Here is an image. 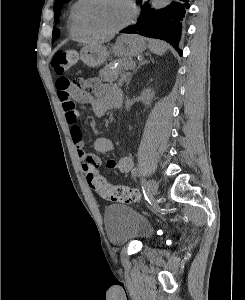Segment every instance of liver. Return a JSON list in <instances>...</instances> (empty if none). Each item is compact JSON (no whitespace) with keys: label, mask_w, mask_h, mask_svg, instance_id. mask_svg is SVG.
Listing matches in <instances>:
<instances>
[{"label":"liver","mask_w":245,"mask_h":300,"mask_svg":"<svg viewBox=\"0 0 245 300\" xmlns=\"http://www.w3.org/2000/svg\"><path fill=\"white\" fill-rule=\"evenodd\" d=\"M109 40H110V38L105 39V40L89 39V40H87L86 43L88 44V46H93V45H100V44H102V43H104L106 41H109Z\"/></svg>","instance_id":"liver-1"}]
</instances>
